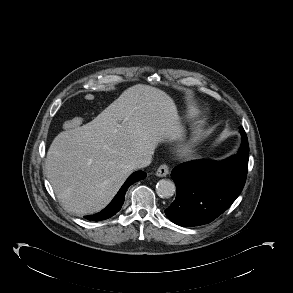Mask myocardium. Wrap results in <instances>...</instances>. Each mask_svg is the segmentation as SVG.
I'll return each instance as SVG.
<instances>
[{
    "label": "myocardium",
    "mask_w": 293,
    "mask_h": 293,
    "mask_svg": "<svg viewBox=\"0 0 293 293\" xmlns=\"http://www.w3.org/2000/svg\"><path fill=\"white\" fill-rule=\"evenodd\" d=\"M193 146H194V142L190 141V142L185 143L182 146L181 150H182L183 153H188V152H190L192 150Z\"/></svg>",
    "instance_id": "obj_1"
}]
</instances>
